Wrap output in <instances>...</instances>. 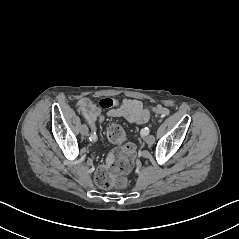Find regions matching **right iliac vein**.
I'll return each mask as SVG.
<instances>
[{
  "mask_svg": "<svg viewBox=\"0 0 239 239\" xmlns=\"http://www.w3.org/2000/svg\"><path fill=\"white\" fill-rule=\"evenodd\" d=\"M80 132L82 135H87L88 134V127L83 124L81 127H80Z\"/></svg>",
  "mask_w": 239,
  "mask_h": 239,
  "instance_id": "right-iliac-vein-1",
  "label": "right iliac vein"
}]
</instances>
